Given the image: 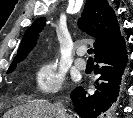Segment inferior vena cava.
I'll use <instances>...</instances> for the list:
<instances>
[{
  "instance_id": "obj_1",
  "label": "inferior vena cava",
  "mask_w": 133,
  "mask_h": 118,
  "mask_svg": "<svg viewBox=\"0 0 133 118\" xmlns=\"http://www.w3.org/2000/svg\"><path fill=\"white\" fill-rule=\"evenodd\" d=\"M55 106H56L58 118H66V111L64 106L60 102L55 104Z\"/></svg>"
}]
</instances>
